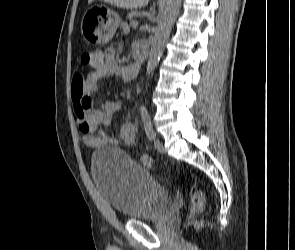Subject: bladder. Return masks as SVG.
I'll return each instance as SVG.
<instances>
[{"label": "bladder", "instance_id": "1", "mask_svg": "<svg viewBox=\"0 0 295 250\" xmlns=\"http://www.w3.org/2000/svg\"><path fill=\"white\" fill-rule=\"evenodd\" d=\"M93 180L103 199L130 220H155L167 209L169 191L116 147L91 157Z\"/></svg>", "mask_w": 295, "mask_h": 250}]
</instances>
